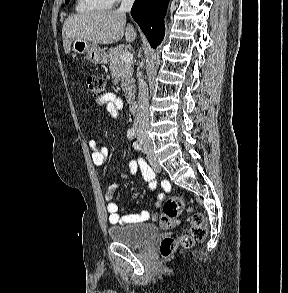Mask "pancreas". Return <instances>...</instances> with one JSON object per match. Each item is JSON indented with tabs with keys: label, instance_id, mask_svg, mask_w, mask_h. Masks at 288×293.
Segmentation results:
<instances>
[{
	"label": "pancreas",
	"instance_id": "cf45deb5",
	"mask_svg": "<svg viewBox=\"0 0 288 293\" xmlns=\"http://www.w3.org/2000/svg\"><path fill=\"white\" fill-rule=\"evenodd\" d=\"M124 53V45L111 48L108 52L109 69L115 80L121 82L125 98L131 101L135 96V79L133 74V63H124L120 56Z\"/></svg>",
	"mask_w": 288,
	"mask_h": 293
}]
</instances>
